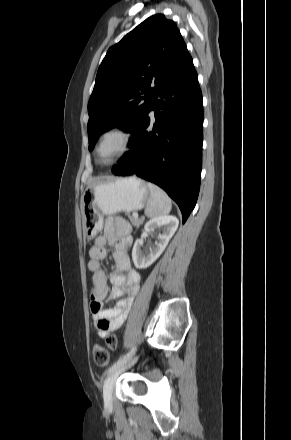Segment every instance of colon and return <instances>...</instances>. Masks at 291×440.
Returning a JSON list of instances; mask_svg holds the SVG:
<instances>
[{
    "label": "colon",
    "mask_w": 291,
    "mask_h": 440,
    "mask_svg": "<svg viewBox=\"0 0 291 440\" xmlns=\"http://www.w3.org/2000/svg\"><path fill=\"white\" fill-rule=\"evenodd\" d=\"M102 323L104 325H108L109 321L106 319L102 320ZM108 345L110 346V348L112 349H116L118 342L116 337L114 336H110L107 340ZM93 356H94V361L98 366L104 367L106 365H108L109 363V353L107 351V349L105 347H103L100 344H96L93 348Z\"/></svg>",
    "instance_id": "colon-1"
}]
</instances>
